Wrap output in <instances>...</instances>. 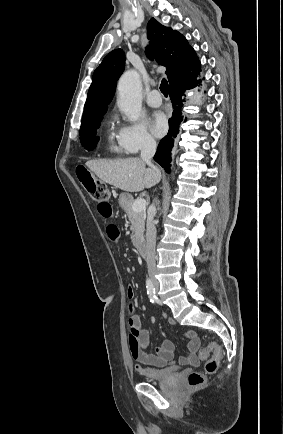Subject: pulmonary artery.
I'll list each match as a JSON object with an SVG mask.
<instances>
[{
  "mask_svg": "<svg viewBox=\"0 0 283 434\" xmlns=\"http://www.w3.org/2000/svg\"><path fill=\"white\" fill-rule=\"evenodd\" d=\"M146 103L151 107H159L162 104V98L157 90L150 91L146 96Z\"/></svg>",
  "mask_w": 283,
  "mask_h": 434,
  "instance_id": "e3ab8cb5",
  "label": "pulmonary artery"
}]
</instances>
